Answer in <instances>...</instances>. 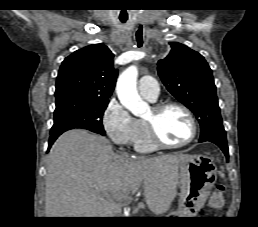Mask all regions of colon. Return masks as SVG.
Returning <instances> with one entry per match:
<instances>
[{"label": "colon", "mask_w": 258, "mask_h": 227, "mask_svg": "<svg viewBox=\"0 0 258 227\" xmlns=\"http://www.w3.org/2000/svg\"><path fill=\"white\" fill-rule=\"evenodd\" d=\"M225 188L223 185H217L212 196V207L221 208L223 206V195Z\"/></svg>", "instance_id": "obj_1"}]
</instances>
